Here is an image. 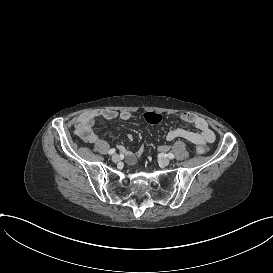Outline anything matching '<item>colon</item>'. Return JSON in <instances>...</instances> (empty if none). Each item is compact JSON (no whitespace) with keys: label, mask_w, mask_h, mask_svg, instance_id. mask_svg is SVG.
I'll use <instances>...</instances> for the list:
<instances>
[{"label":"colon","mask_w":273,"mask_h":273,"mask_svg":"<svg viewBox=\"0 0 273 273\" xmlns=\"http://www.w3.org/2000/svg\"><path fill=\"white\" fill-rule=\"evenodd\" d=\"M146 120L150 123V124H160L163 122V116L159 113H153V114H147L146 115ZM145 149H146V144L145 143H140L139 146L137 147L136 150V158L138 160H141L143 158V155L145 153Z\"/></svg>","instance_id":"obj_1"}]
</instances>
